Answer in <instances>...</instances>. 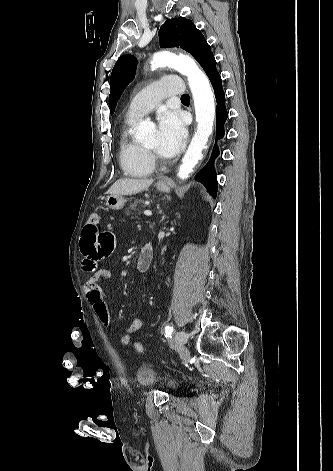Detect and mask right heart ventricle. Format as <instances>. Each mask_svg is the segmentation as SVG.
<instances>
[{"mask_svg": "<svg viewBox=\"0 0 333 471\" xmlns=\"http://www.w3.org/2000/svg\"><path fill=\"white\" fill-rule=\"evenodd\" d=\"M135 119H127L119 137V162L131 177H145L154 170V163L144 146L133 139L130 128Z\"/></svg>", "mask_w": 333, "mask_h": 471, "instance_id": "obj_1", "label": "right heart ventricle"}]
</instances>
